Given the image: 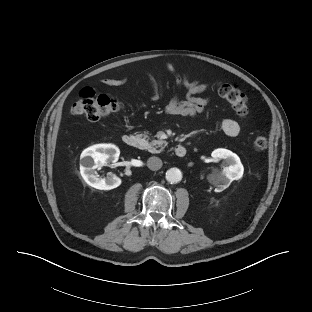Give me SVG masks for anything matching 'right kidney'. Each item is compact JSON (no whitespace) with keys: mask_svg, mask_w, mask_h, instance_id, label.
Returning a JSON list of instances; mask_svg holds the SVG:
<instances>
[{"mask_svg":"<svg viewBox=\"0 0 312 312\" xmlns=\"http://www.w3.org/2000/svg\"><path fill=\"white\" fill-rule=\"evenodd\" d=\"M119 149L112 144H98L85 149L80 156V173L84 181L91 187L100 190H111L121 184V179L112 174L106 178L96 175L95 169L108 162H116Z\"/></svg>","mask_w":312,"mask_h":312,"instance_id":"right-kidney-1","label":"right kidney"}]
</instances>
